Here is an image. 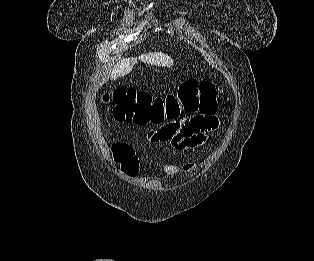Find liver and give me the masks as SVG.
Masks as SVG:
<instances>
[{"mask_svg":"<svg viewBox=\"0 0 314 261\" xmlns=\"http://www.w3.org/2000/svg\"><path fill=\"white\" fill-rule=\"evenodd\" d=\"M138 58H140L144 63L153 66L171 67L174 64L173 59L162 52H149L139 56ZM136 62L137 57L122 59L114 66L111 73V79L129 74Z\"/></svg>","mask_w":314,"mask_h":261,"instance_id":"6515ba94","label":"liver"}]
</instances>
